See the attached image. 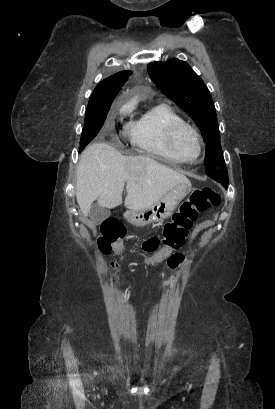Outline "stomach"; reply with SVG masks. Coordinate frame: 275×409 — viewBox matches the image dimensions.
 <instances>
[{
  "mask_svg": "<svg viewBox=\"0 0 275 409\" xmlns=\"http://www.w3.org/2000/svg\"><path fill=\"white\" fill-rule=\"evenodd\" d=\"M191 190V182H180L174 188L168 190L162 198L156 200L154 205L142 211H127L125 217L128 223L135 225V227H145L151 223H160L164 219H168L175 211L180 200L189 194Z\"/></svg>",
  "mask_w": 275,
  "mask_h": 409,
  "instance_id": "stomach-1",
  "label": "stomach"
}]
</instances>
